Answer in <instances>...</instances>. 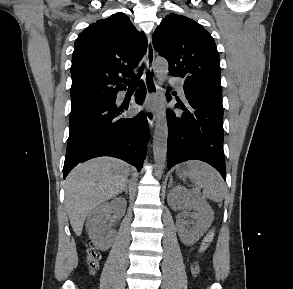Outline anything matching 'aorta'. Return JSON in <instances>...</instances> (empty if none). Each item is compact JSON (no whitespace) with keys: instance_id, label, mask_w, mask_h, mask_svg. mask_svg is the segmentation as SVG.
<instances>
[{"instance_id":"1","label":"aorta","mask_w":293,"mask_h":289,"mask_svg":"<svg viewBox=\"0 0 293 289\" xmlns=\"http://www.w3.org/2000/svg\"><path fill=\"white\" fill-rule=\"evenodd\" d=\"M156 77L163 83L168 73V63L165 59H156L154 64ZM163 90V89H162ZM168 126L164 108H160L156 115L153 139V155L156 166V175L161 176L165 168L167 153Z\"/></svg>"}]
</instances>
